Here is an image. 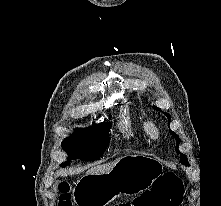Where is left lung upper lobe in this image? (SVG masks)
Segmentation results:
<instances>
[{
	"instance_id": "obj_1",
	"label": "left lung upper lobe",
	"mask_w": 221,
	"mask_h": 206,
	"mask_svg": "<svg viewBox=\"0 0 221 206\" xmlns=\"http://www.w3.org/2000/svg\"><path fill=\"white\" fill-rule=\"evenodd\" d=\"M153 107H154V109H156V110H160V109L157 108L156 106H153ZM164 114H166V116H167L168 119L170 120V118H171L170 114H168V113H164ZM170 133H171V134L175 137V139H176V152H177L178 154H180V163H182L183 165L188 166L189 163H188V160H187L186 156H185L184 154L180 153L179 150H178L179 143H180V139H179L178 135L175 134V133H174L173 131H171V130H170Z\"/></svg>"
}]
</instances>
